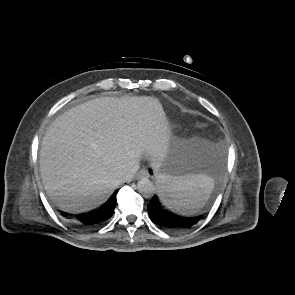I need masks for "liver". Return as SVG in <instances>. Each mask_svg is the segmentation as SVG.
Wrapping results in <instances>:
<instances>
[{
    "label": "liver",
    "instance_id": "liver-1",
    "mask_svg": "<svg viewBox=\"0 0 295 295\" xmlns=\"http://www.w3.org/2000/svg\"><path fill=\"white\" fill-rule=\"evenodd\" d=\"M172 147L163 107L153 97H102L73 107L47 129L40 173L51 200L67 212L103 204L146 154L157 168Z\"/></svg>",
    "mask_w": 295,
    "mask_h": 295
}]
</instances>
